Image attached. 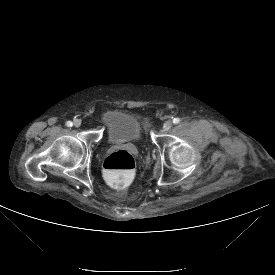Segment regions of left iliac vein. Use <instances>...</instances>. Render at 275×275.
Listing matches in <instances>:
<instances>
[{
	"label": "left iliac vein",
	"instance_id": "left-iliac-vein-1",
	"mask_svg": "<svg viewBox=\"0 0 275 275\" xmlns=\"http://www.w3.org/2000/svg\"><path fill=\"white\" fill-rule=\"evenodd\" d=\"M171 127H172V122H171L170 120L166 121V122L163 124V129H164V131H168Z\"/></svg>",
	"mask_w": 275,
	"mask_h": 275
}]
</instances>
